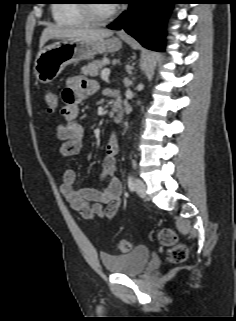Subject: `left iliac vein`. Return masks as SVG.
<instances>
[{"instance_id":"left-iliac-vein-1","label":"left iliac vein","mask_w":236,"mask_h":321,"mask_svg":"<svg viewBox=\"0 0 236 321\" xmlns=\"http://www.w3.org/2000/svg\"><path fill=\"white\" fill-rule=\"evenodd\" d=\"M134 188L139 197L146 198V186L140 179H135Z\"/></svg>"}]
</instances>
